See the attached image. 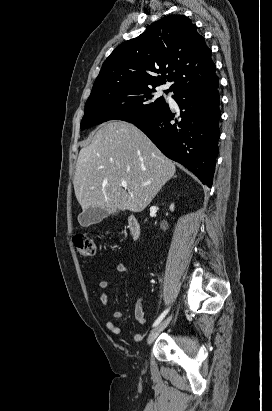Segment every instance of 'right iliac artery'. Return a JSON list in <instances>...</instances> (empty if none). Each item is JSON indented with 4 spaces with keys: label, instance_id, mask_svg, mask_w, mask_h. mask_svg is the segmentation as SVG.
<instances>
[{
    "label": "right iliac artery",
    "instance_id": "1",
    "mask_svg": "<svg viewBox=\"0 0 272 411\" xmlns=\"http://www.w3.org/2000/svg\"><path fill=\"white\" fill-rule=\"evenodd\" d=\"M169 309H166L157 319L156 321L153 323V327H156L162 320L163 318L166 316V314L168 313Z\"/></svg>",
    "mask_w": 272,
    "mask_h": 411
}]
</instances>
